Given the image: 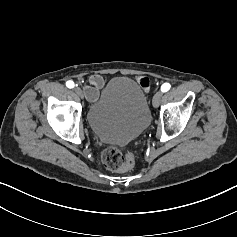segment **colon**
<instances>
[{"instance_id": "5ec220e1", "label": "colon", "mask_w": 237, "mask_h": 237, "mask_svg": "<svg viewBox=\"0 0 237 237\" xmlns=\"http://www.w3.org/2000/svg\"><path fill=\"white\" fill-rule=\"evenodd\" d=\"M101 158L106 168L116 172L128 171L135 164V155L132 152L123 153L115 147L106 148Z\"/></svg>"}]
</instances>
